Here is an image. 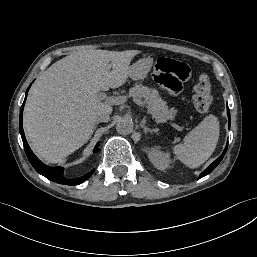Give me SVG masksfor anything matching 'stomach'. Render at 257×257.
Masks as SVG:
<instances>
[{"mask_svg":"<svg viewBox=\"0 0 257 257\" xmlns=\"http://www.w3.org/2000/svg\"><path fill=\"white\" fill-rule=\"evenodd\" d=\"M153 58L147 57L138 60L136 63L130 66L129 77L132 80H142L144 79L150 71Z\"/></svg>","mask_w":257,"mask_h":257,"instance_id":"obj_1","label":"stomach"}]
</instances>
